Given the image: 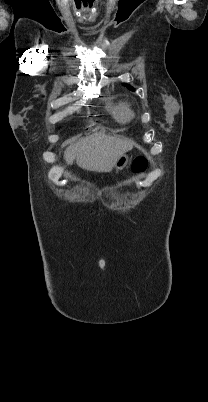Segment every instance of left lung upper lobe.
<instances>
[{"label":"left lung upper lobe","mask_w":208,"mask_h":402,"mask_svg":"<svg viewBox=\"0 0 208 402\" xmlns=\"http://www.w3.org/2000/svg\"><path fill=\"white\" fill-rule=\"evenodd\" d=\"M124 85H125V84H124ZM127 87H128L130 90H134L133 87L130 86V85H127Z\"/></svg>","instance_id":"5c2ea615"}]
</instances>
